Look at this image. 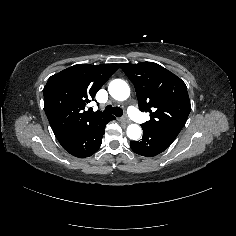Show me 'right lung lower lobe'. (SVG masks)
I'll return each mask as SVG.
<instances>
[{
	"label": "right lung lower lobe",
	"instance_id": "obj_1",
	"mask_svg": "<svg viewBox=\"0 0 236 236\" xmlns=\"http://www.w3.org/2000/svg\"><path fill=\"white\" fill-rule=\"evenodd\" d=\"M114 119V116L101 118L84 127L75 129L68 135L58 139V141L71 155L78 158L89 157L101 146L105 126Z\"/></svg>",
	"mask_w": 236,
	"mask_h": 236
}]
</instances>
